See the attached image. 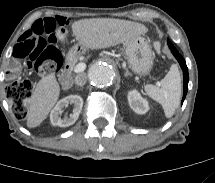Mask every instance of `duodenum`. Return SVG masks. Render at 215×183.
Listing matches in <instances>:
<instances>
[{
	"mask_svg": "<svg viewBox=\"0 0 215 183\" xmlns=\"http://www.w3.org/2000/svg\"><path fill=\"white\" fill-rule=\"evenodd\" d=\"M71 67H72V63L70 61H67L64 64V67L59 74V80H60L61 87L65 90L70 89L73 84V79H72L71 72H70Z\"/></svg>",
	"mask_w": 215,
	"mask_h": 183,
	"instance_id": "obj_1",
	"label": "duodenum"
}]
</instances>
